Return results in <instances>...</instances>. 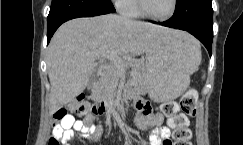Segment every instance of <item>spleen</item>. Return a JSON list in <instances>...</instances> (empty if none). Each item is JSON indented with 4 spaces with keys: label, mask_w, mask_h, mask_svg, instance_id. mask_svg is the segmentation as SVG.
Here are the masks:
<instances>
[{
    "label": "spleen",
    "mask_w": 243,
    "mask_h": 145,
    "mask_svg": "<svg viewBox=\"0 0 243 145\" xmlns=\"http://www.w3.org/2000/svg\"><path fill=\"white\" fill-rule=\"evenodd\" d=\"M200 61H201V53H198L197 65H199ZM204 78H205V74H203V76H202V79H204Z\"/></svg>",
    "instance_id": "obj_1"
}]
</instances>
